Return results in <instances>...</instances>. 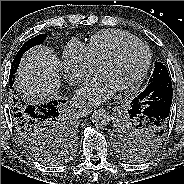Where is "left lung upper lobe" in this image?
<instances>
[{
    "label": "left lung upper lobe",
    "instance_id": "obj_1",
    "mask_svg": "<svg viewBox=\"0 0 184 184\" xmlns=\"http://www.w3.org/2000/svg\"><path fill=\"white\" fill-rule=\"evenodd\" d=\"M161 78H170L168 70L161 62H155L149 83ZM129 109L116 120L113 126V136L123 158L142 160L152 155L160 147L167 130L160 136H156L154 130L134 118ZM165 126L168 129V123Z\"/></svg>",
    "mask_w": 184,
    "mask_h": 184
}]
</instances>
